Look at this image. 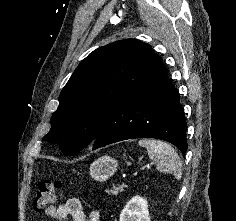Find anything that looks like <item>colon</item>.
I'll use <instances>...</instances> for the list:
<instances>
[{"label": "colon", "mask_w": 236, "mask_h": 221, "mask_svg": "<svg viewBox=\"0 0 236 221\" xmlns=\"http://www.w3.org/2000/svg\"><path fill=\"white\" fill-rule=\"evenodd\" d=\"M66 183H69V181L63 182L61 180H44L40 182L36 189L34 199L35 210L44 211L48 207L52 206L56 195L64 189Z\"/></svg>", "instance_id": "1"}]
</instances>
